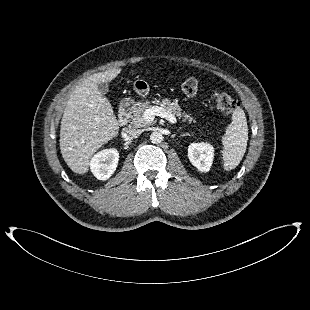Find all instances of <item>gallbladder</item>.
I'll return each instance as SVG.
<instances>
[{
  "mask_svg": "<svg viewBox=\"0 0 310 310\" xmlns=\"http://www.w3.org/2000/svg\"><path fill=\"white\" fill-rule=\"evenodd\" d=\"M98 89L102 94H106L109 90V86L105 82L98 83Z\"/></svg>",
  "mask_w": 310,
  "mask_h": 310,
  "instance_id": "1",
  "label": "gallbladder"
}]
</instances>
